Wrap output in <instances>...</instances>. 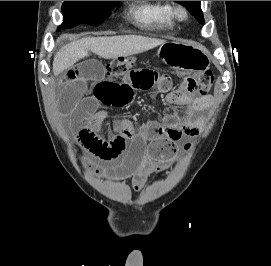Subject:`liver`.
<instances>
[{
	"mask_svg": "<svg viewBox=\"0 0 271 266\" xmlns=\"http://www.w3.org/2000/svg\"><path fill=\"white\" fill-rule=\"evenodd\" d=\"M166 43L165 40L137 36L84 38L64 46L54 57L53 73L58 76L60 67H72L74 62L88 56L90 50L104 59H114L142 53Z\"/></svg>",
	"mask_w": 271,
	"mask_h": 266,
	"instance_id": "liver-1",
	"label": "liver"
}]
</instances>
